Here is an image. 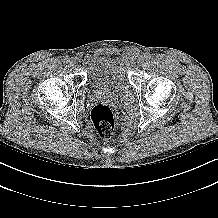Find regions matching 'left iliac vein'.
I'll list each match as a JSON object with an SVG mask.
<instances>
[{"label":"left iliac vein","instance_id":"1","mask_svg":"<svg viewBox=\"0 0 218 218\" xmlns=\"http://www.w3.org/2000/svg\"><path fill=\"white\" fill-rule=\"evenodd\" d=\"M137 62H138V64H142V63L144 62V56L139 55V56L137 57Z\"/></svg>","mask_w":218,"mask_h":218}]
</instances>
